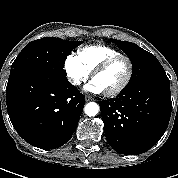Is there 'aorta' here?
I'll list each match as a JSON object with an SVG mask.
<instances>
[{
  "label": "aorta",
  "mask_w": 178,
  "mask_h": 178,
  "mask_svg": "<svg viewBox=\"0 0 178 178\" xmlns=\"http://www.w3.org/2000/svg\"><path fill=\"white\" fill-rule=\"evenodd\" d=\"M85 114L89 117L96 116L99 112V106L95 102H89L84 107Z\"/></svg>",
  "instance_id": "obj_1"
}]
</instances>
